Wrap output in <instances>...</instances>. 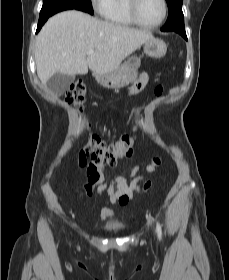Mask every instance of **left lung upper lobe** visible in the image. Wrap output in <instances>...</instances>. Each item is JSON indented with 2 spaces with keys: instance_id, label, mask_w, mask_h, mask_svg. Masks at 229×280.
<instances>
[{
  "instance_id": "obj_1",
  "label": "left lung upper lobe",
  "mask_w": 229,
  "mask_h": 280,
  "mask_svg": "<svg viewBox=\"0 0 229 280\" xmlns=\"http://www.w3.org/2000/svg\"><path fill=\"white\" fill-rule=\"evenodd\" d=\"M169 8L168 19L161 28L162 31H176L184 29V16L182 12L183 0H166Z\"/></svg>"
}]
</instances>
